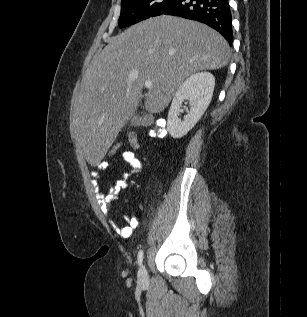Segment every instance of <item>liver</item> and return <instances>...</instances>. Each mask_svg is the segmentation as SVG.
Segmentation results:
<instances>
[{"mask_svg": "<svg viewBox=\"0 0 307 317\" xmlns=\"http://www.w3.org/2000/svg\"><path fill=\"white\" fill-rule=\"evenodd\" d=\"M230 57L222 35L180 17L150 18L110 38L88 66L71 103L76 140L89 163L101 162L133 116L146 80L153 87L145 108L158 113L187 77L225 67Z\"/></svg>", "mask_w": 307, "mask_h": 317, "instance_id": "6515ba94", "label": "liver"}]
</instances>
